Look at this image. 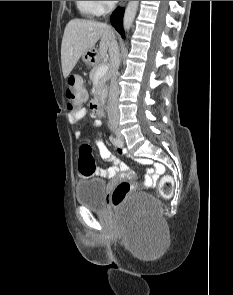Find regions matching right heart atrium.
Returning <instances> with one entry per match:
<instances>
[{"mask_svg":"<svg viewBox=\"0 0 233 295\" xmlns=\"http://www.w3.org/2000/svg\"><path fill=\"white\" fill-rule=\"evenodd\" d=\"M112 2L113 1H96V4L100 12H103L112 4Z\"/></svg>","mask_w":233,"mask_h":295,"instance_id":"1","label":"right heart atrium"}]
</instances>
